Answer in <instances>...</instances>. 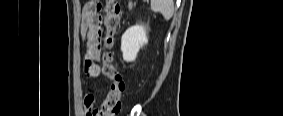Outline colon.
Returning a JSON list of instances; mask_svg holds the SVG:
<instances>
[{
  "mask_svg": "<svg viewBox=\"0 0 283 116\" xmlns=\"http://www.w3.org/2000/svg\"><path fill=\"white\" fill-rule=\"evenodd\" d=\"M104 25L106 35L104 37V52L101 56L102 69L105 77L110 82L109 92L99 109L103 116H116L121 111V97L125 89L122 75L114 63L111 48L114 45V36L121 22V7L117 0H106L104 7Z\"/></svg>",
  "mask_w": 283,
  "mask_h": 116,
  "instance_id": "1",
  "label": "colon"
}]
</instances>
